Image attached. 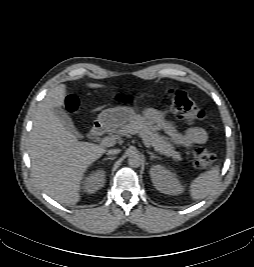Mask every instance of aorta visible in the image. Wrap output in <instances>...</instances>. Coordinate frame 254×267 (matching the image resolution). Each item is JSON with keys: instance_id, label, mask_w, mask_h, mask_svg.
Listing matches in <instances>:
<instances>
[{"instance_id": "1", "label": "aorta", "mask_w": 254, "mask_h": 267, "mask_svg": "<svg viewBox=\"0 0 254 267\" xmlns=\"http://www.w3.org/2000/svg\"><path fill=\"white\" fill-rule=\"evenodd\" d=\"M128 164L133 168H138L142 164V157L136 150L130 151Z\"/></svg>"}]
</instances>
